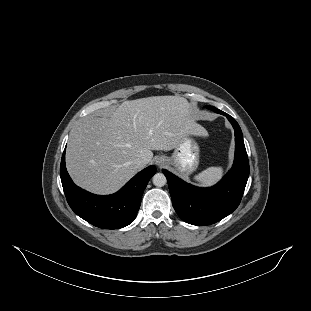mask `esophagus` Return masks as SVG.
<instances>
[{
  "label": "esophagus",
  "instance_id": "esophagus-1",
  "mask_svg": "<svg viewBox=\"0 0 311 311\" xmlns=\"http://www.w3.org/2000/svg\"><path fill=\"white\" fill-rule=\"evenodd\" d=\"M156 164H157L159 167H162L161 161H156Z\"/></svg>",
  "mask_w": 311,
  "mask_h": 311
}]
</instances>
